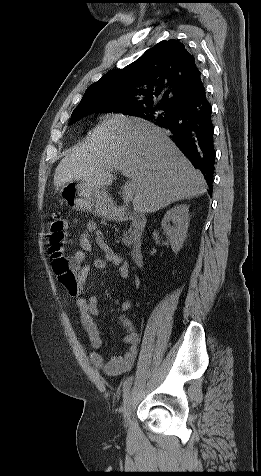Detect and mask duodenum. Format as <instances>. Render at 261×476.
Returning a JSON list of instances; mask_svg holds the SVG:
<instances>
[{
	"instance_id": "410a0bca",
	"label": "duodenum",
	"mask_w": 261,
	"mask_h": 476,
	"mask_svg": "<svg viewBox=\"0 0 261 476\" xmlns=\"http://www.w3.org/2000/svg\"><path fill=\"white\" fill-rule=\"evenodd\" d=\"M113 217L114 219L118 221H130L133 224L138 236L143 231L146 224V219L143 215L136 212L129 211L126 208H118L114 212ZM130 256L136 266L138 267L143 266L144 252H143L142 242L139 238L134 241L130 251Z\"/></svg>"
}]
</instances>
